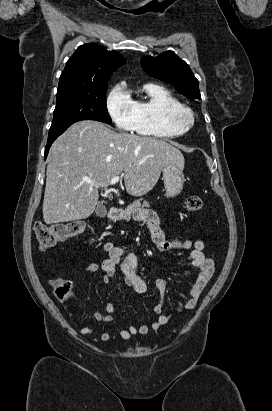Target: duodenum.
Listing matches in <instances>:
<instances>
[{
    "instance_id": "1",
    "label": "duodenum",
    "mask_w": 272,
    "mask_h": 411,
    "mask_svg": "<svg viewBox=\"0 0 272 411\" xmlns=\"http://www.w3.org/2000/svg\"><path fill=\"white\" fill-rule=\"evenodd\" d=\"M121 212L119 207H110L107 211V217L109 219H115Z\"/></svg>"
}]
</instances>
